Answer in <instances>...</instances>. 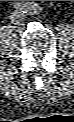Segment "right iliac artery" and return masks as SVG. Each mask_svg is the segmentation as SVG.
I'll return each instance as SVG.
<instances>
[{"instance_id":"right-iliac-artery-1","label":"right iliac artery","mask_w":74,"mask_h":122,"mask_svg":"<svg viewBox=\"0 0 74 122\" xmlns=\"http://www.w3.org/2000/svg\"><path fill=\"white\" fill-rule=\"evenodd\" d=\"M15 9H20V10H26L27 9V4L26 3H22V2H16L14 3L13 6Z\"/></svg>"}]
</instances>
